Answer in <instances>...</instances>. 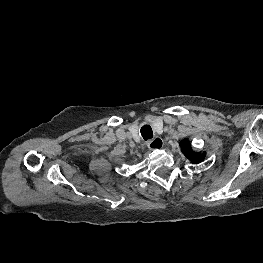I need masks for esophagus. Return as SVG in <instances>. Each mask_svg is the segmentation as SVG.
Masks as SVG:
<instances>
[{"instance_id": "1", "label": "esophagus", "mask_w": 263, "mask_h": 263, "mask_svg": "<svg viewBox=\"0 0 263 263\" xmlns=\"http://www.w3.org/2000/svg\"><path fill=\"white\" fill-rule=\"evenodd\" d=\"M164 145V141L162 138L160 137H156L152 140H150L147 144L148 148L150 150H157V149H161Z\"/></svg>"}]
</instances>
